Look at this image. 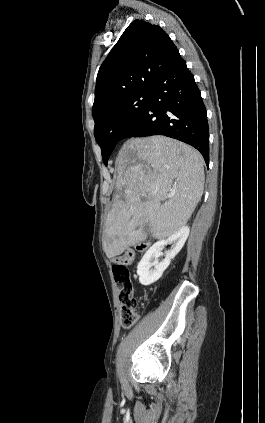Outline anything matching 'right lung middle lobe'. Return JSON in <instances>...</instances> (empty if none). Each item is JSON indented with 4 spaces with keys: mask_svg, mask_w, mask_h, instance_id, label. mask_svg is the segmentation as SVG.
<instances>
[{
    "mask_svg": "<svg viewBox=\"0 0 265 423\" xmlns=\"http://www.w3.org/2000/svg\"><path fill=\"white\" fill-rule=\"evenodd\" d=\"M150 99V90L134 93L108 108L94 120V135L101 147L105 165L122 134L141 114Z\"/></svg>",
    "mask_w": 265,
    "mask_h": 423,
    "instance_id": "right-lung-middle-lobe-1",
    "label": "right lung middle lobe"
}]
</instances>
